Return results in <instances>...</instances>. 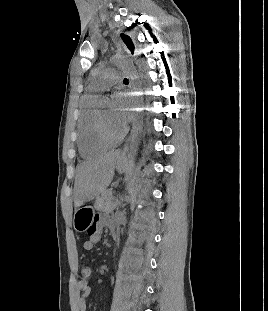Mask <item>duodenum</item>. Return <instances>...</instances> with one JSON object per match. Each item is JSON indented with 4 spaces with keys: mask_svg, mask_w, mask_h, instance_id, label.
Returning a JSON list of instances; mask_svg holds the SVG:
<instances>
[{
    "mask_svg": "<svg viewBox=\"0 0 268 311\" xmlns=\"http://www.w3.org/2000/svg\"><path fill=\"white\" fill-rule=\"evenodd\" d=\"M111 232H112L113 238H117V233H116V231H115V230H112Z\"/></svg>",
    "mask_w": 268,
    "mask_h": 311,
    "instance_id": "1",
    "label": "duodenum"
}]
</instances>
